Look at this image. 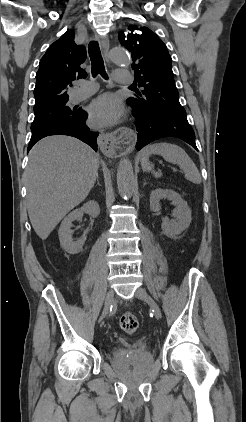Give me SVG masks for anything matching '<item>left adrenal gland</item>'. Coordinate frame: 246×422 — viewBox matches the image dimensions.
I'll return each mask as SVG.
<instances>
[{
	"label": "left adrenal gland",
	"mask_w": 246,
	"mask_h": 422,
	"mask_svg": "<svg viewBox=\"0 0 246 422\" xmlns=\"http://www.w3.org/2000/svg\"><path fill=\"white\" fill-rule=\"evenodd\" d=\"M147 184V182H146V180L144 181V184H143V186H145Z\"/></svg>",
	"instance_id": "obj_1"
}]
</instances>
